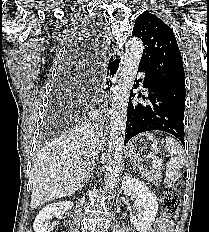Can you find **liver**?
<instances>
[{
  "label": "liver",
  "instance_id": "liver-1",
  "mask_svg": "<svg viewBox=\"0 0 209 232\" xmlns=\"http://www.w3.org/2000/svg\"><path fill=\"white\" fill-rule=\"evenodd\" d=\"M94 142L89 125H76L42 149L33 167L32 209L82 187L94 161Z\"/></svg>",
  "mask_w": 209,
  "mask_h": 232
}]
</instances>
